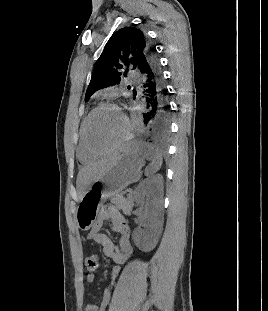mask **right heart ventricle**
I'll return each instance as SVG.
<instances>
[{
    "mask_svg": "<svg viewBox=\"0 0 268 311\" xmlns=\"http://www.w3.org/2000/svg\"><path fill=\"white\" fill-rule=\"evenodd\" d=\"M83 124L82 123L80 127V139L78 143V149H77V156L79 160L84 163L88 164L96 160V156L91 154L85 147L84 140H83Z\"/></svg>",
    "mask_w": 268,
    "mask_h": 311,
    "instance_id": "1",
    "label": "right heart ventricle"
}]
</instances>
